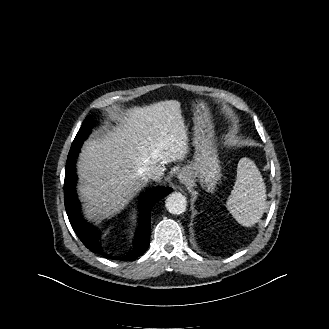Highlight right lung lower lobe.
<instances>
[{
	"label": "right lung lower lobe",
	"mask_w": 329,
	"mask_h": 329,
	"mask_svg": "<svg viewBox=\"0 0 329 329\" xmlns=\"http://www.w3.org/2000/svg\"><path fill=\"white\" fill-rule=\"evenodd\" d=\"M79 149L69 156L66 162L64 181L65 208L70 224L83 244L90 251L103 254L99 242L100 234L94 226L84 221L80 215V204L75 191V183L77 180L75 162ZM171 191L172 189L169 187H161L147 192L140 205L139 226L133 249L124 256H104L110 259L124 261L135 260L137 257L141 256L147 250L150 243V210L156 202Z\"/></svg>",
	"instance_id": "1"
}]
</instances>
